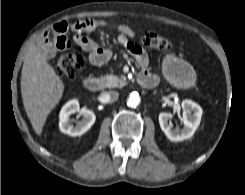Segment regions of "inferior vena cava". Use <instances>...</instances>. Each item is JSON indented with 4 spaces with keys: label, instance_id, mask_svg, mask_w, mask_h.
<instances>
[{
    "label": "inferior vena cava",
    "instance_id": "1",
    "mask_svg": "<svg viewBox=\"0 0 245 195\" xmlns=\"http://www.w3.org/2000/svg\"><path fill=\"white\" fill-rule=\"evenodd\" d=\"M102 96L107 102H115L119 97V93L117 91H108L103 93Z\"/></svg>",
    "mask_w": 245,
    "mask_h": 195
}]
</instances>
